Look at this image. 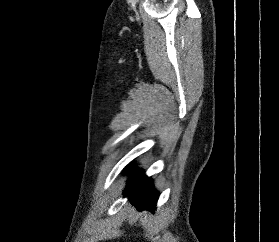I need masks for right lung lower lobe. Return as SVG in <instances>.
I'll return each mask as SVG.
<instances>
[{
    "mask_svg": "<svg viewBox=\"0 0 279 242\" xmlns=\"http://www.w3.org/2000/svg\"><path fill=\"white\" fill-rule=\"evenodd\" d=\"M132 170L133 165H129L126 167L125 173H129ZM124 197H128L139 210L154 211L158 194L153 189L151 179L148 178L143 171H136L131 175L128 181Z\"/></svg>",
    "mask_w": 279,
    "mask_h": 242,
    "instance_id": "1",
    "label": "right lung lower lobe"
}]
</instances>
